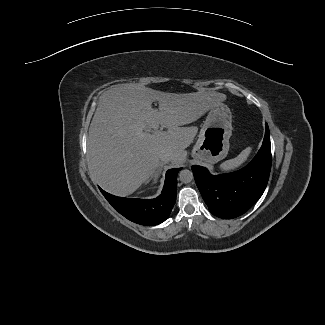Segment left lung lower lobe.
Listing matches in <instances>:
<instances>
[{
	"instance_id": "1",
	"label": "left lung lower lobe",
	"mask_w": 325,
	"mask_h": 325,
	"mask_svg": "<svg viewBox=\"0 0 325 325\" xmlns=\"http://www.w3.org/2000/svg\"><path fill=\"white\" fill-rule=\"evenodd\" d=\"M262 147L254 159L239 171L211 175L201 166H192L197 187L210 212L232 219L244 214L263 194L271 169V143L267 123Z\"/></svg>"
}]
</instances>
